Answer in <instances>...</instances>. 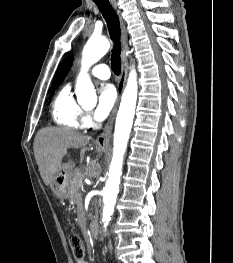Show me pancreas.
Listing matches in <instances>:
<instances>
[{
    "mask_svg": "<svg viewBox=\"0 0 233 263\" xmlns=\"http://www.w3.org/2000/svg\"><path fill=\"white\" fill-rule=\"evenodd\" d=\"M83 182V175L79 170H76L73 175L70 177V192L69 199L71 202L79 205L82 201V193L80 188Z\"/></svg>",
    "mask_w": 233,
    "mask_h": 263,
    "instance_id": "cf45deb5",
    "label": "pancreas"
}]
</instances>
